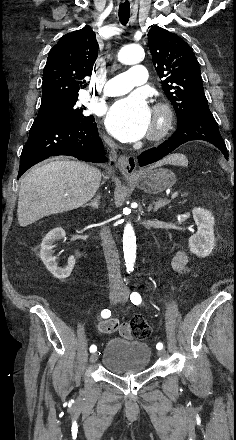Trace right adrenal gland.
I'll use <instances>...</instances> for the list:
<instances>
[{
    "label": "right adrenal gland",
    "mask_w": 236,
    "mask_h": 440,
    "mask_svg": "<svg viewBox=\"0 0 236 440\" xmlns=\"http://www.w3.org/2000/svg\"><path fill=\"white\" fill-rule=\"evenodd\" d=\"M100 203V195H97L91 203L86 204L85 206H90L93 209H98Z\"/></svg>",
    "instance_id": "2a0ac1e0"
}]
</instances>
